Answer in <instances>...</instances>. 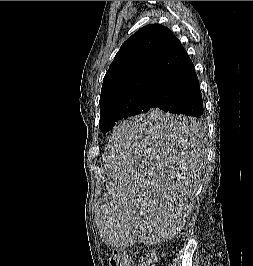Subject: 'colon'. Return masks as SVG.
Returning a JSON list of instances; mask_svg holds the SVG:
<instances>
[{"instance_id":"1","label":"colon","mask_w":253,"mask_h":266,"mask_svg":"<svg viewBox=\"0 0 253 266\" xmlns=\"http://www.w3.org/2000/svg\"><path fill=\"white\" fill-rule=\"evenodd\" d=\"M158 258L155 253L147 252L140 262L139 266H155ZM110 266H129L130 259L125 252L115 250L109 260Z\"/></svg>"}]
</instances>
